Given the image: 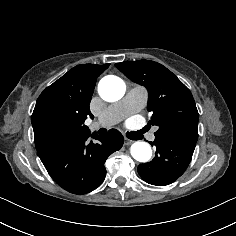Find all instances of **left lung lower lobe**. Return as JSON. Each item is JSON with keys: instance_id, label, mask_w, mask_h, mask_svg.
<instances>
[{"instance_id": "obj_1", "label": "left lung lower lobe", "mask_w": 236, "mask_h": 236, "mask_svg": "<svg viewBox=\"0 0 236 236\" xmlns=\"http://www.w3.org/2000/svg\"><path fill=\"white\" fill-rule=\"evenodd\" d=\"M149 143L156 147V156L151 162L138 166L139 175L152 185L165 186L173 183L187 169L195 146L159 137Z\"/></svg>"}]
</instances>
